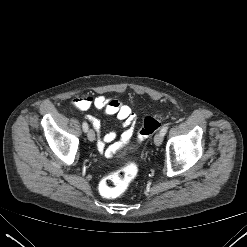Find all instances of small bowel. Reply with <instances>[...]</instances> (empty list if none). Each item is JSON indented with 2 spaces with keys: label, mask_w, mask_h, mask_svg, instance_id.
<instances>
[{
  "label": "small bowel",
  "mask_w": 247,
  "mask_h": 247,
  "mask_svg": "<svg viewBox=\"0 0 247 247\" xmlns=\"http://www.w3.org/2000/svg\"><path fill=\"white\" fill-rule=\"evenodd\" d=\"M71 104L75 109L80 111H86L89 108L94 107L105 115H115L120 121L123 122V126L125 127L130 126L134 121V115L127 105L122 104L117 99L109 98L104 95L94 96L85 94L73 99ZM86 119L99 134L97 147L99 152L105 154L106 156H111L118 148L126 143L128 138L131 136L132 131L131 129H128L123 133L119 143L107 148L106 145L116 138V132L111 131L105 135H100L101 121L93 115H86Z\"/></svg>",
  "instance_id": "1"
}]
</instances>
